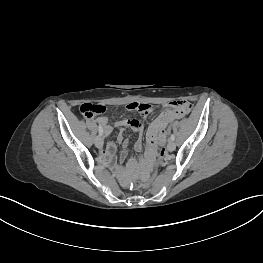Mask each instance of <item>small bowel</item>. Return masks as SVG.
I'll list each match as a JSON object with an SVG mask.
<instances>
[{
	"instance_id": "small-bowel-1",
	"label": "small bowel",
	"mask_w": 263,
	"mask_h": 263,
	"mask_svg": "<svg viewBox=\"0 0 263 263\" xmlns=\"http://www.w3.org/2000/svg\"><path fill=\"white\" fill-rule=\"evenodd\" d=\"M183 115L184 110L182 108L176 109L175 107L170 105V108L161 112L151 124L147 133V151L146 158L144 159V164L146 165L144 169V174L146 176H151L153 174L156 163L160 161V156L156 147L163 143V140L166 136L165 129L170 123H172L174 120L181 118ZM97 123L102 127L105 136L110 135V133L112 132V126L108 124V119L105 116L98 117ZM114 126L119 127L121 129V132L117 137V141L121 143L123 142L124 129L131 128L139 135H141L144 129V122L139 119H119L114 122ZM135 149L138 151H141L143 149V145L140 140L136 142ZM115 152V143L108 142L103 151V156L108 160H112L114 159ZM127 155L128 142H124V149L121 152V159H125ZM118 173L122 178L125 177V172L122 168L118 169Z\"/></svg>"
}]
</instances>
